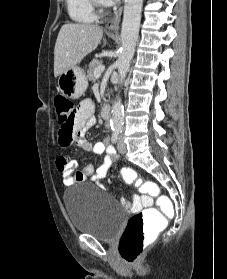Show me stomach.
<instances>
[{"mask_svg": "<svg viewBox=\"0 0 227 279\" xmlns=\"http://www.w3.org/2000/svg\"><path fill=\"white\" fill-rule=\"evenodd\" d=\"M88 87V81L83 69L73 66L58 77V90L66 97L77 99Z\"/></svg>", "mask_w": 227, "mask_h": 279, "instance_id": "1", "label": "stomach"}]
</instances>
